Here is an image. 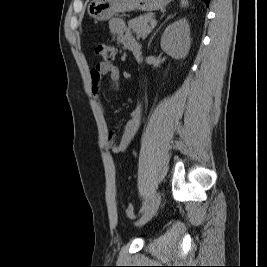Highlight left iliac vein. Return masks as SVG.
Here are the masks:
<instances>
[{
	"label": "left iliac vein",
	"instance_id": "1",
	"mask_svg": "<svg viewBox=\"0 0 267 267\" xmlns=\"http://www.w3.org/2000/svg\"><path fill=\"white\" fill-rule=\"evenodd\" d=\"M160 202H161V194L158 192L152 197L151 201L149 202L145 211L137 221L136 225L143 226L144 224H146L157 212Z\"/></svg>",
	"mask_w": 267,
	"mask_h": 267
}]
</instances>
